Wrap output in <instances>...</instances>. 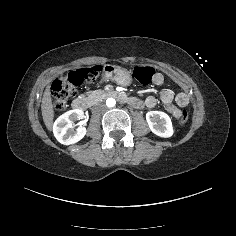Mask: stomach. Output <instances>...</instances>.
Masks as SVG:
<instances>
[{"instance_id": "0dacf381", "label": "stomach", "mask_w": 236, "mask_h": 236, "mask_svg": "<svg viewBox=\"0 0 236 236\" xmlns=\"http://www.w3.org/2000/svg\"><path fill=\"white\" fill-rule=\"evenodd\" d=\"M104 76L114 83L123 87H128L132 83L131 71L116 65H105Z\"/></svg>"}]
</instances>
